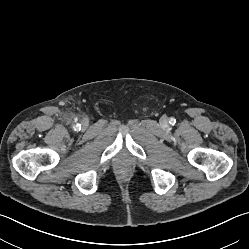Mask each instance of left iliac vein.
Segmentation results:
<instances>
[{"instance_id": "4c4485c4", "label": "left iliac vein", "mask_w": 249, "mask_h": 249, "mask_svg": "<svg viewBox=\"0 0 249 249\" xmlns=\"http://www.w3.org/2000/svg\"><path fill=\"white\" fill-rule=\"evenodd\" d=\"M161 123L163 124V125H167V123H168V120H167V118L166 117H162L161 118Z\"/></svg>"}]
</instances>
